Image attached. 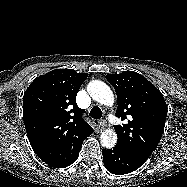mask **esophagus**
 Returning <instances> with one entry per match:
<instances>
[{"label":"esophagus","instance_id":"1","mask_svg":"<svg viewBox=\"0 0 187 187\" xmlns=\"http://www.w3.org/2000/svg\"><path fill=\"white\" fill-rule=\"evenodd\" d=\"M99 126L101 127V129H105L106 127H107V122H106V120H101L100 122H99Z\"/></svg>","mask_w":187,"mask_h":187}]
</instances>
